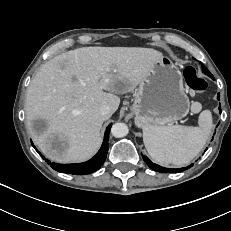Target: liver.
Returning <instances> with one entry per match:
<instances>
[{"label":"liver","mask_w":231,"mask_h":231,"mask_svg":"<svg viewBox=\"0 0 231 231\" xmlns=\"http://www.w3.org/2000/svg\"><path fill=\"white\" fill-rule=\"evenodd\" d=\"M163 57L152 48L83 47L62 53L41 66L27 89L25 111L34 143L51 161L84 162L100 147L106 120L100 107L118 109L117 94L133 92ZM48 126L38 133L33 121ZM63 149L52 147V140Z\"/></svg>","instance_id":"liver-1"}]
</instances>
